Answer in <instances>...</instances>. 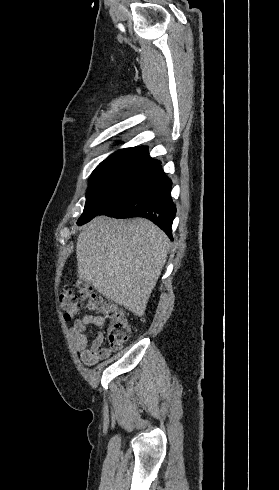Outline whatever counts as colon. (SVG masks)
I'll list each match as a JSON object with an SVG mask.
<instances>
[{
  "instance_id": "5ec220e1",
  "label": "colon",
  "mask_w": 279,
  "mask_h": 490,
  "mask_svg": "<svg viewBox=\"0 0 279 490\" xmlns=\"http://www.w3.org/2000/svg\"><path fill=\"white\" fill-rule=\"evenodd\" d=\"M77 296L68 286L59 291V300L66 321H71L81 314V305L91 313L98 314L107 322L106 334L111 350H121L135 334V327L129 323L127 315L114 305L103 301L89 283L78 285Z\"/></svg>"
}]
</instances>
